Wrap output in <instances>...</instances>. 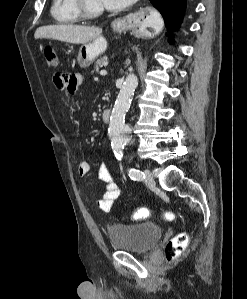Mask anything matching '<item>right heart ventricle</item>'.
Listing matches in <instances>:
<instances>
[{"label": "right heart ventricle", "mask_w": 247, "mask_h": 299, "mask_svg": "<svg viewBox=\"0 0 247 299\" xmlns=\"http://www.w3.org/2000/svg\"><path fill=\"white\" fill-rule=\"evenodd\" d=\"M50 13L58 24H74L81 20L74 0H52Z\"/></svg>", "instance_id": "right-heart-ventricle-1"}]
</instances>
